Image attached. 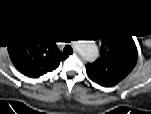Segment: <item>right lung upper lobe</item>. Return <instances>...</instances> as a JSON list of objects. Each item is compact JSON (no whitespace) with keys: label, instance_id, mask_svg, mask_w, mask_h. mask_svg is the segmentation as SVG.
Returning <instances> with one entry per match:
<instances>
[{"label":"right lung upper lobe","instance_id":"1","mask_svg":"<svg viewBox=\"0 0 151 114\" xmlns=\"http://www.w3.org/2000/svg\"><path fill=\"white\" fill-rule=\"evenodd\" d=\"M10 56L22 73L33 78L55 70L65 59L54 41L42 32L18 36Z\"/></svg>","mask_w":151,"mask_h":114}]
</instances>
